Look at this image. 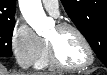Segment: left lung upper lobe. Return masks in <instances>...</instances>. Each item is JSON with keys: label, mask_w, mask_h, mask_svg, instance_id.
<instances>
[{"label": "left lung upper lobe", "mask_w": 107, "mask_h": 75, "mask_svg": "<svg viewBox=\"0 0 107 75\" xmlns=\"http://www.w3.org/2000/svg\"><path fill=\"white\" fill-rule=\"evenodd\" d=\"M68 16L107 66V0H61Z\"/></svg>", "instance_id": "5c2ea615"}]
</instances>
